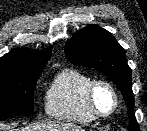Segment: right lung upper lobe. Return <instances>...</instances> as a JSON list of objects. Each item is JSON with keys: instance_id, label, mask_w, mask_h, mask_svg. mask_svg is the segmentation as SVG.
Listing matches in <instances>:
<instances>
[{"instance_id": "cb5924a9", "label": "right lung upper lobe", "mask_w": 147, "mask_h": 131, "mask_svg": "<svg viewBox=\"0 0 147 131\" xmlns=\"http://www.w3.org/2000/svg\"><path fill=\"white\" fill-rule=\"evenodd\" d=\"M50 56V50L40 52L17 48L0 59V72L42 71Z\"/></svg>"}]
</instances>
